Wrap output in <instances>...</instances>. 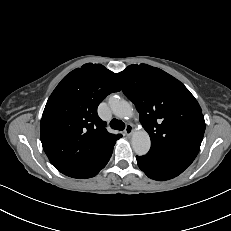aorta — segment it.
<instances>
[{"label":"aorta","mask_w":231,"mask_h":231,"mask_svg":"<svg viewBox=\"0 0 231 231\" xmlns=\"http://www.w3.org/2000/svg\"><path fill=\"white\" fill-rule=\"evenodd\" d=\"M110 108L115 116L118 118H130L133 116L132 105L117 96L109 98ZM151 147V140L145 130L137 131L132 136V148L137 155H145L149 152Z\"/></svg>","instance_id":"aorta-1"}]
</instances>
